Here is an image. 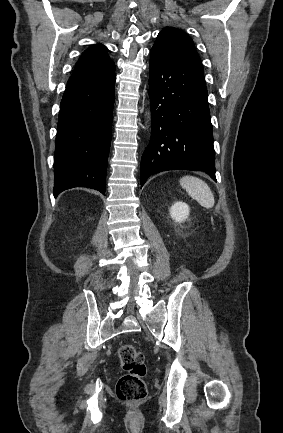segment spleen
Masks as SVG:
<instances>
[{
  "mask_svg": "<svg viewBox=\"0 0 283 433\" xmlns=\"http://www.w3.org/2000/svg\"><path fill=\"white\" fill-rule=\"evenodd\" d=\"M179 182L182 188H185L188 194L192 198H195L201 206H205V208H212L214 206L215 200L211 188H209L204 180L197 178V176H182Z\"/></svg>",
  "mask_w": 283,
  "mask_h": 433,
  "instance_id": "1",
  "label": "spleen"
}]
</instances>
